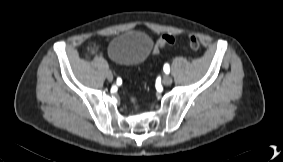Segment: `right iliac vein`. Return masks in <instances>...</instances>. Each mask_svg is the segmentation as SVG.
Wrapping results in <instances>:
<instances>
[{
  "label": "right iliac vein",
  "mask_w": 283,
  "mask_h": 162,
  "mask_svg": "<svg viewBox=\"0 0 283 162\" xmlns=\"http://www.w3.org/2000/svg\"><path fill=\"white\" fill-rule=\"evenodd\" d=\"M106 77H107L108 81H112V80H113V74H112V72H111V71H108Z\"/></svg>",
  "instance_id": "1"
}]
</instances>
